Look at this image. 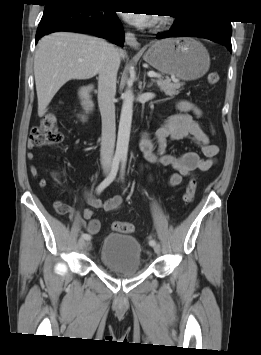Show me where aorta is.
Instances as JSON below:
<instances>
[{
    "instance_id": "obj_1",
    "label": "aorta",
    "mask_w": 261,
    "mask_h": 355,
    "mask_svg": "<svg viewBox=\"0 0 261 355\" xmlns=\"http://www.w3.org/2000/svg\"><path fill=\"white\" fill-rule=\"evenodd\" d=\"M133 91L130 86L123 94V104L121 109L117 145L115 155L126 158L130 139L132 115H133Z\"/></svg>"
}]
</instances>
